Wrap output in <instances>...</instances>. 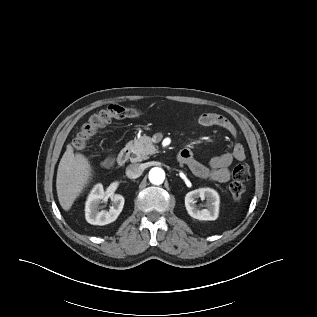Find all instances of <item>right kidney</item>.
I'll list each match as a JSON object with an SVG mask.
<instances>
[{"mask_svg":"<svg viewBox=\"0 0 317 317\" xmlns=\"http://www.w3.org/2000/svg\"><path fill=\"white\" fill-rule=\"evenodd\" d=\"M111 198L113 201L109 211H100L101 200ZM124 197L120 194L106 193L102 184H96L91 190L86 204L85 216L88 223L93 225H106L117 219L124 206Z\"/></svg>","mask_w":317,"mask_h":317,"instance_id":"1","label":"right kidney"}]
</instances>
